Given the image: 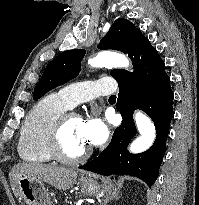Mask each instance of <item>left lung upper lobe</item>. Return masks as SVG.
I'll use <instances>...</instances> for the list:
<instances>
[{
  "instance_id": "5c2ea615",
  "label": "left lung upper lobe",
  "mask_w": 199,
  "mask_h": 205,
  "mask_svg": "<svg viewBox=\"0 0 199 205\" xmlns=\"http://www.w3.org/2000/svg\"><path fill=\"white\" fill-rule=\"evenodd\" d=\"M140 33L130 21L119 18L110 27L107 34L101 39L98 48L114 49L128 53L134 39ZM85 55L84 49H74L62 52L45 68L41 79L34 89L33 98H41L50 90L75 78L80 72V62ZM120 69L110 72L116 78Z\"/></svg>"
}]
</instances>
